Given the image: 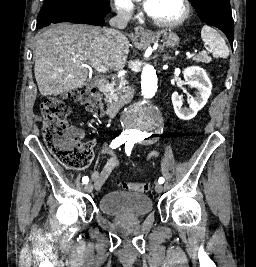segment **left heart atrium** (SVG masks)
<instances>
[{
	"label": "left heart atrium",
	"instance_id": "left-heart-atrium-1",
	"mask_svg": "<svg viewBox=\"0 0 256 267\" xmlns=\"http://www.w3.org/2000/svg\"><path fill=\"white\" fill-rule=\"evenodd\" d=\"M169 4V0H143L145 11L151 16L155 24L163 26L161 16Z\"/></svg>",
	"mask_w": 256,
	"mask_h": 267
}]
</instances>
